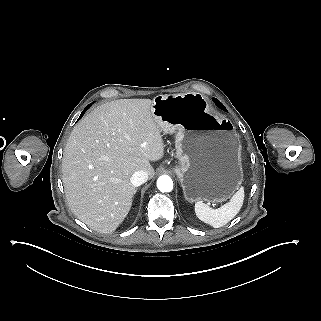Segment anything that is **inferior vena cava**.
I'll use <instances>...</instances> for the list:
<instances>
[{
    "label": "inferior vena cava",
    "instance_id": "1",
    "mask_svg": "<svg viewBox=\"0 0 321 321\" xmlns=\"http://www.w3.org/2000/svg\"><path fill=\"white\" fill-rule=\"evenodd\" d=\"M148 180V174L144 171H136L130 178L131 183L137 187Z\"/></svg>",
    "mask_w": 321,
    "mask_h": 321
}]
</instances>
